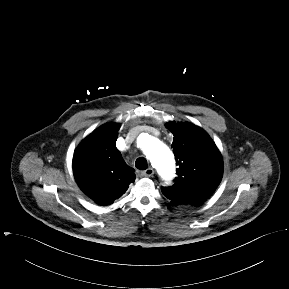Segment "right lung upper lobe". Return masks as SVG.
Wrapping results in <instances>:
<instances>
[{"label": "right lung upper lobe", "instance_id": "right-lung-upper-lobe-1", "mask_svg": "<svg viewBox=\"0 0 289 289\" xmlns=\"http://www.w3.org/2000/svg\"><path fill=\"white\" fill-rule=\"evenodd\" d=\"M119 128L116 123L100 126L74 152L73 171L79 187L102 206L121 197L136 178L116 148Z\"/></svg>", "mask_w": 289, "mask_h": 289}]
</instances>
